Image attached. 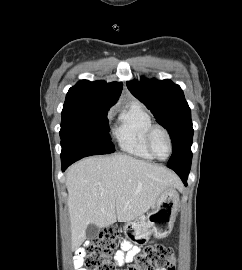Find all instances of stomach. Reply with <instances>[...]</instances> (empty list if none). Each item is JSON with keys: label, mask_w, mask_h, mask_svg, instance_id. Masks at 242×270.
Returning a JSON list of instances; mask_svg holds the SVG:
<instances>
[{"label": "stomach", "mask_w": 242, "mask_h": 270, "mask_svg": "<svg viewBox=\"0 0 242 270\" xmlns=\"http://www.w3.org/2000/svg\"><path fill=\"white\" fill-rule=\"evenodd\" d=\"M177 211L178 194L175 189L168 188L161 193L151 213L125 224V235L136 245L147 243L151 235L157 239L165 238L173 229Z\"/></svg>", "instance_id": "obj_1"}]
</instances>
